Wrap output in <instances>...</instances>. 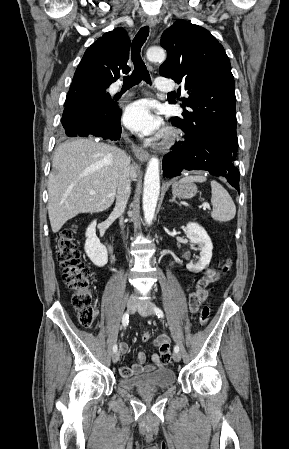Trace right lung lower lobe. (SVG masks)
<instances>
[{
	"label": "right lung lower lobe",
	"mask_w": 289,
	"mask_h": 449,
	"mask_svg": "<svg viewBox=\"0 0 289 449\" xmlns=\"http://www.w3.org/2000/svg\"><path fill=\"white\" fill-rule=\"evenodd\" d=\"M99 89L90 82L73 80L67 93L65 109L61 120L64 133L70 137L94 135L104 140H118L121 137V109L112 100L103 115H88V111Z\"/></svg>",
	"instance_id": "right-lung-lower-lobe-1"
}]
</instances>
